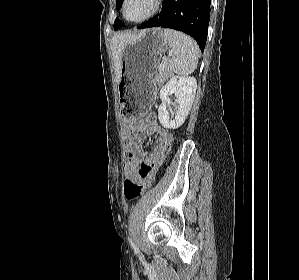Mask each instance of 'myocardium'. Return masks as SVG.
<instances>
[{
    "label": "myocardium",
    "instance_id": "1",
    "mask_svg": "<svg viewBox=\"0 0 299 280\" xmlns=\"http://www.w3.org/2000/svg\"><path fill=\"white\" fill-rule=\"evenodd\" d=\"M128 2H129V0L123 1L122 14H123V17L125 20H127L131 23H135V24L143 23V22L151 19L152 17H154L160 11L162 4H163V0H153V6H152L151 10L145 16H143L139 19H136V20H131L126 15V6H127Z\"/></svg>",
    "mask_w": 299,
    "mask_h": 280
}]
</instances>
